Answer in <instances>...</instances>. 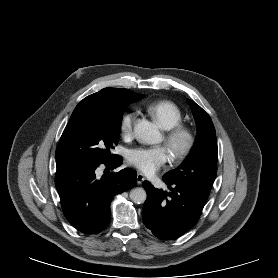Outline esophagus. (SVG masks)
<instances>
[{
    "label": "esophagus",
    "instance_id": "esophagus-1",
    "mask_svg": "<svg viewBox=\"0 0 278 278\" xmlns=\"http://www.w3.org/2000/svg\"><path fill=\"white\" fill-rule=\"evenodd\" d=\"M144 180H145V177H144L143 173H138L137 174V184L141 185Z\"/></svg>",
    "mask_w": 278,
    "mask_h": 278
}]
</instances>
